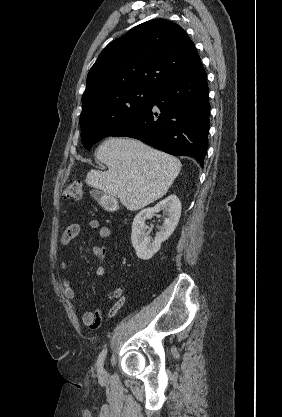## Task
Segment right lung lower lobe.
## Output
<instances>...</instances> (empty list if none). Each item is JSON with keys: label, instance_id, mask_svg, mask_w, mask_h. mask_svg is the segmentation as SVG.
Here are the masks:
<instances>
[{"label": "right lung lower lobe", "instance_id": "98d812e1", "mask_svg": "<svg viewBox=\"0 0 282 417\" xmlns=\"http://www.w3.org/2000/svg\"><path fill=\"white\" fill-rule=\"evenodd\" d=\"M207 74L203 65L160 85L150 102L113 137H131L204 166L210 127Z\"/></svg>", "mask_w": 282, "mask_h": 417}]
</instances>
